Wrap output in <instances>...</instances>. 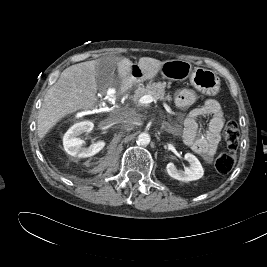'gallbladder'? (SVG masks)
Segmentation results:
<instances>
[{"label": "gallbladder", "mask_w": 267, "mask_h": 267, "mask_svg": "<svg viewBox=\"0 0 267 267\" xmlns=\"http://www.w3.org/2000/svg\"><path fill=\"white\" fill-rule=\"evenodd\" d=\"M112 67H113V62L111 61V59H107V58L100 59V63L97 67L99 71L97 81L101 88H106L111 84Z\"/></svg>", "instance_id": "1"}]
</instances>
